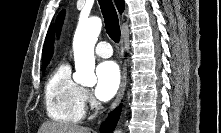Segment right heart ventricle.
<instances>
[{"label":"right heart ventricle","instance_id":"1","mask_svg":"<svg viewBox=\"0 0 221 133\" xmlns=\"http://www.w3.org/2000/svg\"><path fill=\"white\" fill-rule=\"evenodd\" d=\"M83 88L71 77L70 67L61 64L45 85L47 115L60 124H77L84 116Z\"/></svg>","mask_w":221,"mask_h":133}]
</instances>
